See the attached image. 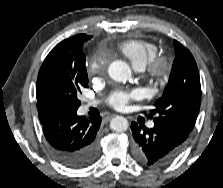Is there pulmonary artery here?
Masks as SVG:
<instances>
[{
    "label": "pulmonary artery",
    "instance_id": "obj_1",
    "mask_svg": "<svg viewBox=\"0 0 223 188\" xmlns=\"http://www.w3.org/2000/svg\"><path fill=\"white\" fill-rule=\"evenodd\" d=\"M138 70H140V69H138ZM93 105H95V103H91V102L88 103V106H93ZM148 126H149L150 128H152V127L154 126V123H153V122H150V123L148 124Z\"/></svg>",
    "mask_w": 223,
    "mask_h": 188
}]
</instances>
